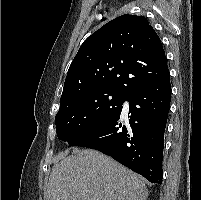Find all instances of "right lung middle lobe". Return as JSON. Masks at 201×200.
Listing matches in <instances>:
<instances>
[{
    "label": "right lung middle lobe",
    "instance_id": "dd1d6c3e",
    "mask_svg": "<svg viewBox=\"0 0 201 200\" xmlns=\"http://www.w3.org/2000/svg\"><path fill=\"white\" fill-rule=\"evenodd\" d=\"M126 98L115 91H95L61 102L55 117L58 138L72 142L116 112Z\"/></svg>",
    "mask_w": 201,
    "mask_h": 200
}]
</instances>
